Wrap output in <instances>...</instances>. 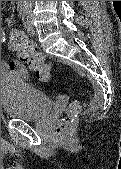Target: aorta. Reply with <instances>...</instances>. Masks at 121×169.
<instances>
[{
  "mask_svg": "<svg viewBox=\"0 0 121 169\" xmlns=\"http://www.w3.org/2000/svg\"><path fill=\"white\" fill-rule=\"evenodd\" d=\"M22 4H31L33 1H19Z\"/></svg>",
  "mask_w": 121,
  "mask_h": 169,
  "instance_id": "obj_1",
  "label": "aorta"
}]
</instances>
